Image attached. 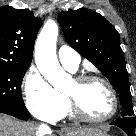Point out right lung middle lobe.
Instances as JSON below:
<instances>
[{
    "mask_svg": "<svg viewBox=\"0 0 136 136\" xmlns=\"http://www.w3.org/2000/svg\"><path fill=\"white\" fill-rule=\"evenodd\" d=\"M29 67L0 66V112L28 114L22 97L21 83Z\"/></svg>",
    "mask_w": 136,
    "mask_h": 136,
    "instance_id": "obj_1",
    "label": "right lung middle lobe"
}]
</instances>
